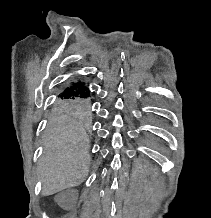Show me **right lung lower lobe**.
Returning a JSON list of instances; mask_svg holds the SVG:
<instances>
[{"label": "right lung lower lobe", "mask_w": 211, "mask_h": 218, "mask_svg": "<svg viewBox=\"0 0 211 218\" xmlns=\"http://www.w3.org/2000/svg\"><path fill=\"white\" fill-rule=\"evenodd\" d=\"M58 97L90 99L91 94L85 82L81 80H71L63 86Z\"/></svg>", "instance_id": "1"}]
</instances>
